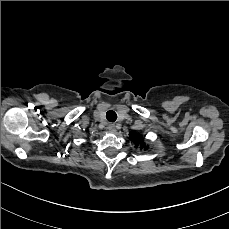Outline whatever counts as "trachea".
Here are the masks:
<instances>
[{
  "instance_id": "3493384b",
  "label": "trachea",
  "mask_w": 229,
  "mask_h": 229,
  "mask_svg": "<svg viewBox=\"0 0 229 229\" xmlns=\"http://www.w3.org/2000/svg\"><path fill=\"white\" fill-rule=\"evenodd\" d=\"M106 119L109 121V122H114L116 121L117 119V114L115 111L113 110H110L106 113Z\"/></svg>"
}]
</instances>
